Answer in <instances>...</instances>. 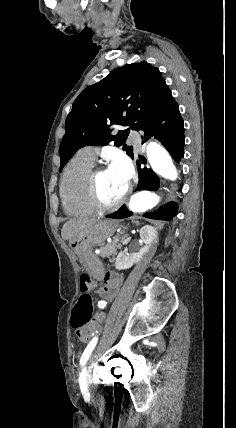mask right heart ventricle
<instances>
[{
	"label": "right heart ventricle",
	"mask_w": 236,
	"mask_h": 428,
	"mask_svg": "<svg viewBox=\"0 0 236 428\" xmlns=\"http://www.w3.org/2000/svg\"><path fill=\"white\" fill-rule=\"evenodd\" d=\"M93 168L94 159L89 156L87 149L80 150L67 166L60 184V194L63 207L69 215L86 217L98 211L90 203L87 194V180Z\"/></svg>",
	"instance_id": "right-heart-ventricle-1"
}]
</instances>
